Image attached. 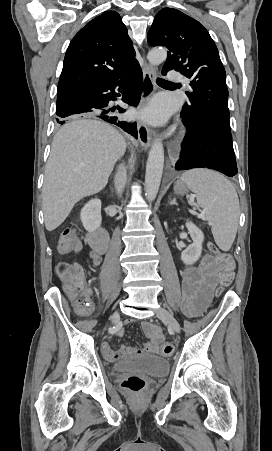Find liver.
Returning <instances> with one entry per match:
<instances>
[{
    "label": "liver",
    "mask_w": 272,
    "mask_h": 451,
    "mask_svg": "<svg viewBox=\"0 0 272 451\" xmlns=\"http://www.w3.org/2000/svg\"><path fill=\"white\" fill-rule=\"evenodd\" d=\"M125 150L123 136L106 122L76 118L58 130L42 190L48 231L61 226L79 200L105 188Z\"/></svg>",
    "instance_id": "obj_1"
}]
</instances>
